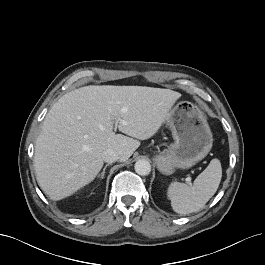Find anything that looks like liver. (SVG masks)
<instances>
[{"mask_svg":"<svg viewBox=\"0 0 265 265\" xmlns=\"http://www.w3.org/2000/svg\"><path fill=\"white\" fill-rule=\"evenodd\" d=\"M181 94L146 86H85L63 95L47 113L35 144L34 168L41 189L66 198L92 182L102 154L130 158L139 140L151 138ZM118 128L123 134H116Z\"/></svg>","mask_w":265,"mask_h":265,"instance_id":"6515ba94","label":"liver"}]
</instances>
